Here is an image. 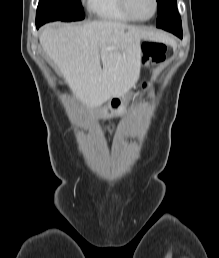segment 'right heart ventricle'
<instances>
[{
    "label": "right heart ventricle",
    "instance_id": "right-heart-ventricle-1",
    "mask_svg": "<svg viewBox=\"0 0 219 258\" xmlns=\"http://www.w3.org/2000/svg\"><path fill=\"white\" fill-rule=\"evenodd\" d=\"M92 13L102 20L114 22L133 21L122 9L120 0H89Z\"/></svg>",
    "mask_w": 219,
    "mask_h": 258
}]
</instances>
